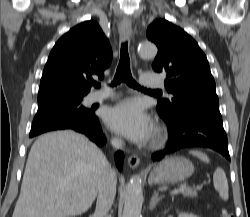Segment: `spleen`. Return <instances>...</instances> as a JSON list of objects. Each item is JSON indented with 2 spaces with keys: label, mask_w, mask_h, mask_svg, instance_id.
I'll use <instances>...</instances> for the list:
<instances>
[{
  "label": "spleen",
  "mask_w": 250,
  "mask_h": 217,
  "mask_svg": "<svg viewBox=\"0 0 250 217\" xmlns=\"http://www.w3.org/2000/svg\"><path fill=\"white\" fill-rule=\"evenodd\" d=\"M189 153L198 157L200 160L209 163V158L205 153L198 150H191L189 151ZM213 184L215 190L219 193L220 198L227 201L229 198L228 181L224 170L220 167L216 168V170L214 171Z\"/></svg>",
  "instance_id": "3e777b00"
}]
</instances>
